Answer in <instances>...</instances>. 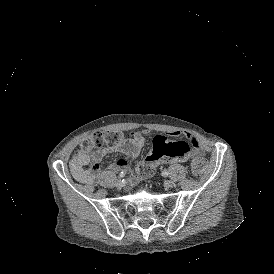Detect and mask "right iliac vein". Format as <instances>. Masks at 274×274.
<instances>
[{
  "instance_id": "right-iliac-vein-1",
  "label": "right iliac vein",
  "mask_w": 274,
  "mask_h": 274,
  "mask_svg": "<svg viewBox=\"0 0 274 274\" xmlns=\"http://www.w3.org/2000/svg\"><path fill=\"white\" fill-rule=\"evenodd\" d=\"M116 187H121L122 185V180L121 179H118L115 183Z\"/></svg>"
}]
</instances>
